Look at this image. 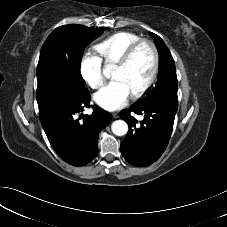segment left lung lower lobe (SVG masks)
I'll return each mask as SVG.
<instances>
[{
  "mask_svg": "<svg viewBox=\"0 0 227 227\" xmlns=\"http://www.w3.org/2000/svg\"><path fill=\"white\" fill-rule=\"evenodd\" d=\"M177 108V105L155 100L144 105L134 104L119 113L129 126L121 142V153L127 162L145 167L163 154L172 133ZM134 113L142 115L143 120H136Z\"/></svg>",
  "mask_w": 227,
  "mask_h": 227,
  "instance_id": "left-lung-lower-lobe-1",
  "label": "left lung lower lobe"
}]
</instances>
